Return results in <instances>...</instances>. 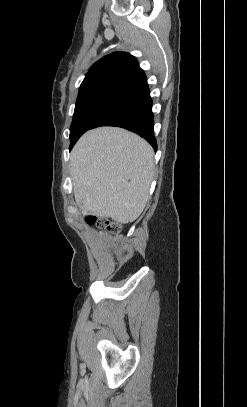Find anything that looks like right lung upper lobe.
<instances>
[{"label":"right lung upper lobe","instance_id":"right-lung-upper-lobe-1","mask_svg":"<svg viewBox=\"0 0 247 407\" xmlns=\"http://www.w3.org/2000/svg\"><path fill=\"white\" fill-rule=\"evenodd\" d=\"M147 87L146 76L137 59L126 52H115L90 68L80 86L77 100L106 89L126 88L139 92Z\"/></svg>","mask_w":247,"mask_h":407}]
</instances>
